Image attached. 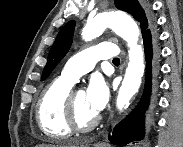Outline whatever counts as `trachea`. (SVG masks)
Segmentation results:
<instances>
[{"label": "trachea", "mask_w": 183, "mask_h": 147, "mask_svg": "<svg viewBox=\"0 0 183 147\" xmlns=\"http://www.w3.org/2000/svg\"><path fill=\"white\" fill-rule=\"evenodd\" d=\"M113 62H118V63H120V59H119V58H114V59H113Z\"/></svg>", "instance_id": "obj_1"}]
</instances>
